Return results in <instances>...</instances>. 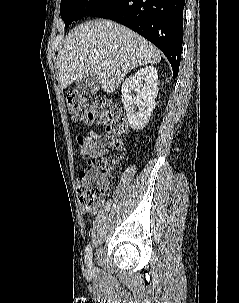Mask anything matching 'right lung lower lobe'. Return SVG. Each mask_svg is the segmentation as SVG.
<instances>
[{"label":"right lung lower lobe","mask_w":239,"mask_h":303,"mask_svg":"<svg viewBox=\"0 0 239 303\" xmlns=\"http://www.w3.org/2000/svg\"><path fill=\"white\" fill-rule=\"evenodd\" d=\"M185 0H106L87 16L119 22L156 45L178 75Z\"/></svg>","instance_id":"obj_1"}]
</instances>
